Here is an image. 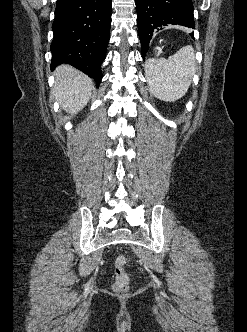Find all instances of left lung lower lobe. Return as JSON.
Here are the masks:
<instances>
[{"label":"left lung lower lobe","instance_id":"obj_1","mask_svg":"<svg viewBox=\"0 0 247 332\" xmlns=\"http://www.w3.org/2000/svg\"><path fill=\"white\" fill-rule=\"evenodd\" d=\"M136 12L143 57L152 37L163 26L195 27L192 0H136Z\"/></svg>","mask_w":247,"mask_h":332}]
</instances>
